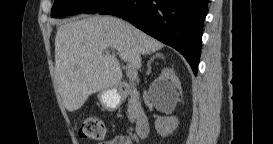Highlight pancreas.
I'll list each match as a JSON object with an SVG mask.
<instances>
[{
	"mask_svg": "<svg viewBox=\"0 0 273 144\" xmlns=\"http://www.w3.org/2000/svg\"><path fill=\"white\" fill-rule=\"evenodd\" d=\"M127 111H128V118H129V120L131 122H133L134 119H135V117H136V114H135V112H134V110L132 108V103L131 102H129V104H128V110Z\"/></svg>",
	"mask_w": 273,
	"mask_h": 144,
	"instance_id": "obj_1",
	"label": "pancreas"
}]
</instances>
